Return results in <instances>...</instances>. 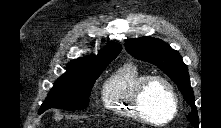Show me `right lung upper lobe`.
<instances>
[{
	"mask_svg": "<svg viewBox=\"0 0 221 128\" xmlns=\"http://www.w3.org/2000/svg\"><path fill=\"white\" fill-rule=\"evenodd\" d=\"M121 51L119 44L110 43L97 56L92 55L88 57L79 58L75 61H71L67 65L66 73L76 71L84 66L102 63L107 58L118 55Z\"/></svg>",
	"mask_w": 221,
	"mask_h": 128,
	"instance_id": "obj_1",
	"label": "right lung upper lobe"
}]
</instances>
